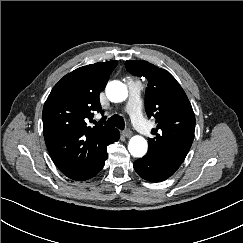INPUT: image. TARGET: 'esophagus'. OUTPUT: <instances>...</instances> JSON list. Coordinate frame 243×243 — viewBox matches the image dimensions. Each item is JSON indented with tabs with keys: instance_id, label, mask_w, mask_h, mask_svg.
<instances>
[{
	"instance_id": "1",
	"label": "esophagus",
	"mask_w": 243,
	"mask_h": 243,
	"mask_svg": "<svg viewBox=\"0 0 243 243\" xmlns=\"http://www.w3.org/2000/svg\"><path fill=\"white\" fill-rule=\"evenodd\" d=\"M122 135L126 138H129V137H131L132 132L130 130H124V131H122Z\"/></svg>"
}]
</instances>
